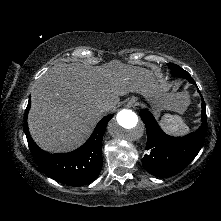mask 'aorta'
<instances>
[{"instance_id": "762f6f07", "label": "aorta", "mask_w": 221, "mask_h": 221, "mask_svg": "<svg viewBox=\"0 0 221 221\" xmlns=\"http://www.w3.org/2000/svg\"><path fill=\"white\" fill-rule=\"evenodd\" d=\"M107 129L112 137L127 142L139 139L144 132V127L139 122L138 116L129 109L120 110L110 120Z\"/></svg>"}]
</instances>
